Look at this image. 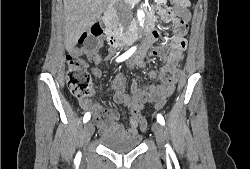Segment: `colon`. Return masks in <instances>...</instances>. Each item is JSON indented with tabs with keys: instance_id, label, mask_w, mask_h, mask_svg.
<instances>
[{
	"instance_id": "colon-1",
	"label": "colon",
	"mask_w": 250,
	"mask_h": 169,
	"mask_svg": "<svg viewBox=\"0 0 250 169\" xmlns=\"http://www.w3.org/2000/svg\"><path fill=\"white\" fill-rule=\"evenodd\" d=\"M172 5L175 7L187 6L188 3L185 0H176L172 2ZM186 22L180 20L176 22V29L182 32L186 28ZM104 33L103 27L99 23H94L89 31L84 34H78V43L85 45H90L92 42L101 37ZM67 71H66V83L71 91V93L77 98H87L92 94V79L90 74L81 66L79 61L72 55L67 56ZM160 95H168V93H160ZM168 101L167 97H157L154 98L151 102L154 103V108H163V104H166ZM147 103H131L132 115L138 120L140 124L141 131L147 129V123L143 119L142 112L139 108H147Z\"/></svg>"
}]
</instances>
